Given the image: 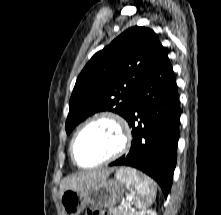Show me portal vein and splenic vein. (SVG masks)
I'll list each match as a JSON object with an SVG mask.
<instances>
[{
	"label": "portal vein and splenic vein",
	"mask_w": 221,
	"mask_h": 215,
	"mask_svg": "<svg viewBox=\"0 0 221 215\" xmlns=\"http://www.w3.org/2000/svg\"><path fill=\"white\" fill-rule=\"evenodd\" d=\"M122 206H126V203L122 202Z\"/></svg>",
	"instance_id": "obj_1"
}]
</instances>
